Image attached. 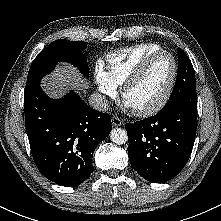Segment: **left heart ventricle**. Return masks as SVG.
I'll return each instance as SVG.
<instances>
[{"instance_id": "left-heart-ventricle-1", "label": "left heart ventricle", "mask_w": 221, "mask_h": 221, "mask_svg": "<svg viewBox=\"0 0 221 221\" xmlns=\"http://www.w3.org/2000/svg\"><path fill=\"white\" fill-rule=\"evenodd\" d=\"M173 73L168 56L155 59L139 79L128 89L125 101L134 109L154 104L164 93Z\"/></svg>"}]
</instances>
